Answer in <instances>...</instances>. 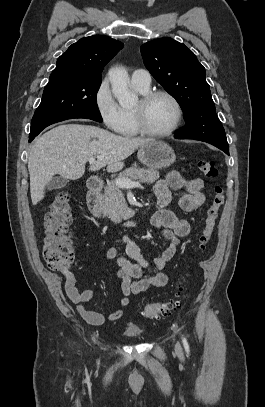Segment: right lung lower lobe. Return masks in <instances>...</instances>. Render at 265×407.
I'll use <instances>...</instances> for the list:
<instances>
[{
	"label": "right lung lower lobe",
	"instance_id": "obj_1",
	"mask_svg": "<svg viewBox=\"0 0 265 407\" xmlns=\"http://www.w3.org/2000/svg\"><path fill=\"white\" fill-rule=\"evenodd\" d=\"M35 137H29V140L32 141Z\"/></svg>",
	"mask_w": 265,
	"mask_h": 407
}]
</instances>
